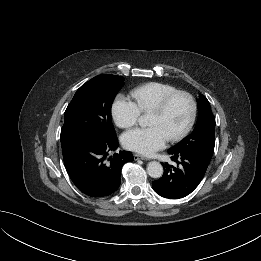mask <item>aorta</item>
<instances>
[{"label":"aorta","instance_id":"obj_1","mask_svg":"<svg viewBox=\"0 0 261 261\" xmlns=\"http://www.w3.org/2000/svg\"><path fill=\"white\" fill-rule=\"evenodd\" d=\"M144 122H145V118L141 117L139 119V123L144 124ZM147 173L152 178H160L163 175V167L159 162L156 161L149 162L147 165Z\"/></svg>","mask_w":261,"mask_h":261}]
</instances>
